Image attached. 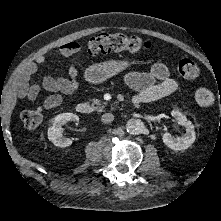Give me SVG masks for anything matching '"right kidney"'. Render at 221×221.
<instances>
[{
    "instance_id": "right-kidney-1",
    "label": "right kidney",
    "mask_w": 221,
    "mask_h": 221,
    "mask_svg": "<svg viewBox=\"0 0 221 221\" xmlns=\"http://www.w3.org/2000/svg\"><path fill=\"white\" fill-rule=\"evenodd\" d=\"M79 117L73 113H62L52 120V125L48 128V139L57 147H67L72 144V140L62 136V125L69 121H78Z\"/></svg>"
}]
</instances>
